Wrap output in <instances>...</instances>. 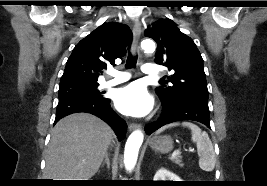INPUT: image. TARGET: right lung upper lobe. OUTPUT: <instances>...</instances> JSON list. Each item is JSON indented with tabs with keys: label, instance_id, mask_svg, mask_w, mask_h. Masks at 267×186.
Instances as JSON below:
<instances>
[{
	"label": "right lung upper lobe",
	"instance_id": "1",
	"mask_svg": "<svg viewBox=\"0 0 267 186\" xmlns=\"http://www.w3.org/2000/svg\"><path fill=\"white\" fill-rule=\"evenodd\" d=\"M132 42V32L125 24L104 23L82 39L67 60L60 85L97 83L107 64L123 57Z\"/></svg>",
	"mask_w": 267,
	"mask_h": 186
}]
</instances>
